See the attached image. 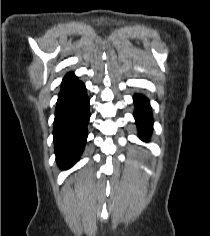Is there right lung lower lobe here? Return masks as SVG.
<instances>
[{
  "instance_id": "right-lung-lower-lobe-1",
  "label": "right lung lower lobe",
  "mask_w": 210,
  "mask_h": 236,
  "mask_svg": "<svg viewBox=\"0 0 210 236\" xmlns=\"http://www.w3.org/2000/svg\"><path fill=\"white\" fill-rule=\"evenodd\" d=\"M89 118L85 85L69 73L62 81L53 129L56 160L61 167L69 168L82 153Z\"/></svg>"
}]
</instances>
